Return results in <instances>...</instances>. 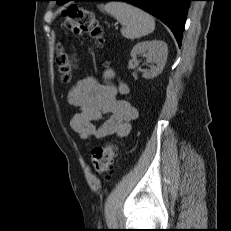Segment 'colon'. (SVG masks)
Segmentation results:
<instances>
[{"instance_id":"obj_1","label":"colon","mask_w":231,"mask_h":231,"mask_svg":"<svg viewBox=\"0 0 231 231\" xmlns=\"http://www.w3.org/2000/svg\"><path fill=\"white\" fill-rule=\"evenodd\" d=\"M65 25L75 34H87L103 42V30L94 14L78 4H69L64 10ZM57 65L63 81L71 80L76 67V59L63 48L58 51ZM116 147L106 144L93 148L91 153L92 165L96 173L108 172L114 162Z\"/></svg>"}]
</instances>
